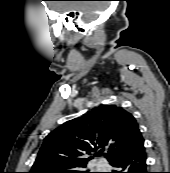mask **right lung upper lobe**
<instances>
[{"mask_svg": "<svg viewBox=\"0 0 170 173\" xmlns=\"http://www.w3.org/2000/svg\"><path fill=\"white\" fill-rule=\"evenodd\" d=\"M142 144L144 139L132 114L117 105H103L49 133L30 173L83 170L93 158L90 155L103 151L111 163Z\"/></svg>", "mask_w": 170, "mask_h": 173, "instance_id": "right-lung-upper-lobe-1", "label": "right lung upper lobe"}]
</instances>
